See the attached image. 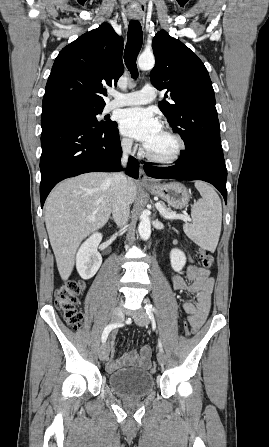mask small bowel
Returning a JSON list of instances; mask_svg holds the SVG:
<instances>
[{"mask_svg":"<svg viewBox=\"0 0 269 447\" xmlns=\"http://www.w3.org/2000/svg\"><path fill=\"white\" fill-rule=\"evenodd\" d=\"M187 278L185 280L177 274H172L171 283L174 289L180 292H187L195 295V301H183L181 307L189 314L190 323L200 328L207 318L211 306V295L214 290L215 281L211 272L203 267H198L191 263L187 268ZM114 340L115 335L110 339V360L107 364L109 371H115L126 365H135L142 369H147V364L150 361V356H144L143 348H140L139 354L135 351H129L123 354L120 358H114Z\"/></svg>","mask_w":269,"mask_h":447,"instance_id":"small-bowel-1","label":"small bowel"}]
</instances>
